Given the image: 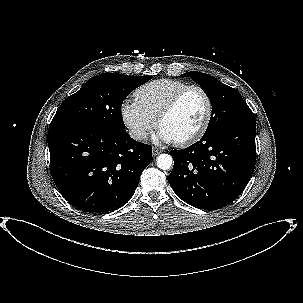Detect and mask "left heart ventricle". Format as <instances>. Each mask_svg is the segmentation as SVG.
Returning a JSON list of instances; mask_svg holds the SVG:
<instances>
[{
	"label": "left heart ventricle",
	"instance_id": "1",
	"mask_svg": "<svg viewBox=\"0 0 303 303\" xmlns=\"http://www.w3.org/2000/svg\"><path fill=\"white\" fill-rule=\"evenodd\" d=\"M206 112V102L202 94L196 90L188 92L176 109L162 123L175 141L193 134L200 126Z\"/></svg>",
	"mask_w": 303,
	"mask_h": 303
}]
</instances>
